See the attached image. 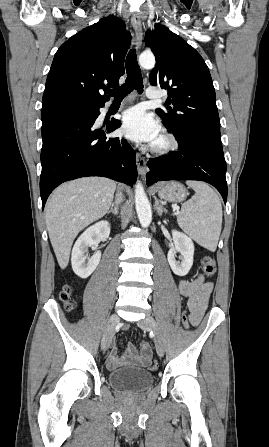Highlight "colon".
I'll return each instance as SVG.
<instances>
[{"mask_svg":"<svg viewBox=\"0 0 269 447\" xmlns=\"http://www.w3.org/2000/svg\"><path fill=\"white\" fill-rule=\"evenodd\" d=\"M202 270H203L204 275H205L206 277H212V276H214V274H215V272H216V263H215V260H214L211 256H204V257H203V259H202ZM72 292H73V289H72L71 287H66V288L62 291L61 296H62L64 299L68 300V299L71 297ZM66 307H67L68 310H73V309H74V306H73L72 304H70V303L67 304ZM180 323H181V325L184 326V329H185L187 332L190 330V329H189V326H188V323H189V317H188L187 314H184V315L181 316ZM142 353H143L145 356H150V355L152 354L151 348H150V347H145V348L142 350ZM146 366H147L148 370H150V371H154V370H156V368H157V364H156V362H154V361H150V362H148V363L146 364Z\"/></svg>","mask_w":269,"mask_h":447,"instance_id":"5ec220e1","label":"colon"}]
</instances>
